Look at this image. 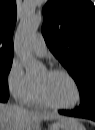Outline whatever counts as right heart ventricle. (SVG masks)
I'll use <instances>...</instances> for the list:
<instances>
[{"label": "right heart ventricle", "instance_id": "e07e8e85", "mask_svg": "<svg viewBox=\"0 0 95 130\" xmlns=\"http://www.w3.org/2000/svg\"><path fill=\"white\" fill-rule=\"evenodd\" d=\"M30 105L35 106V107H46V105L41 101L39 98L38 92H37V87H35L32 96L28 102Z\"/></svg>", "mask_w": 95, "mask_h": 130}]
</instances>
